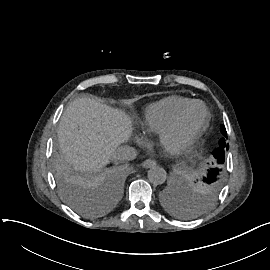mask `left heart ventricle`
Segmentation results:
<instances>
[{"mask_svg": "<svg viewBox=\"0 0 270 270\" xmlns=\"http://www.w3.org/2000/svg\"><path fill=\"white\" fill-rule=\"evenodd\" d=\"M205 117L204 109L202 106H196L193 108L186 117L181 131L172 133L164 138V141L172 146H176L185 134L192 129L199 126Z\"/></svg>", "mask_w": 270, "mask_h": 270, "instance_id": "1", "label": "left heart ventricle"}]
</instances>
